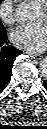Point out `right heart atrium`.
<instances>
[{
	"label": "right heart atrium",
	"instance_id": "obj_1",
	"mask_svg": "<svg viewBox=\"0 0 47 129\" xmlns=\"http://www.w3.org/2000/svg\"><path fill=\"white\" fill-rule=\"evenodd\" d=\"M15 0H2L0 3V17L6 23H12L15 20Z\"/></svg>",
	"mask_w": 47,
	"mask_h": 129
}]
</instances>
